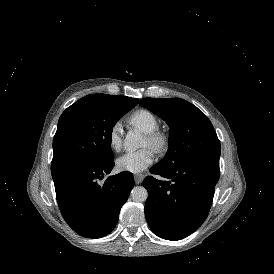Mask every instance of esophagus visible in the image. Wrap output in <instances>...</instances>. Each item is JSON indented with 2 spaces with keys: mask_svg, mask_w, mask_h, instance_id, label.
I'll return each instance as SVG.
<instances>
[{
  "mask_svg": "<svg viewBox=\"0 0 274 274\" xmlns=\"http://www.w3.org/2000/svg\"><path fill=\"white\" fill-rule=\"evenodd\" d=\"M144 179V175L143 174H135L134 175V180L136 184H140Z\"/></svg>",
  "mask_w": 274,
  "mask_h": 274,
  "instance_id": "1",
  "label": "esophagus"
}]
</instances>
